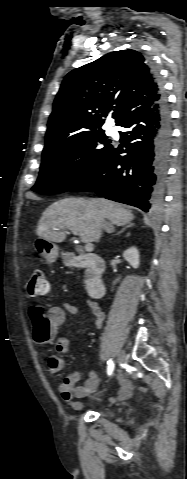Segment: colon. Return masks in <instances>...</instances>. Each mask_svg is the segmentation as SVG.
I'll use <instances>...</instances> for the list:
<instances>
[{
  "label": "colon",
  "mask_w": 187,
  "mask_h": 479,
  "mask_svg": "<svg viewBox=\"0 0 187 479\" xmlns=\"http://www.w3.org/2000/svg\"><path fill=\"white\" fill-rule=\"evenodd\" d=\"M48 283L45 279L44 273L40 269L32 271L27 283V293L31 298L44 297L48 294ZM41 319L48 323L49 317L42 307H39Z\"/></svg>",
  "instance_id": "colon-1"
}]
</instances>
